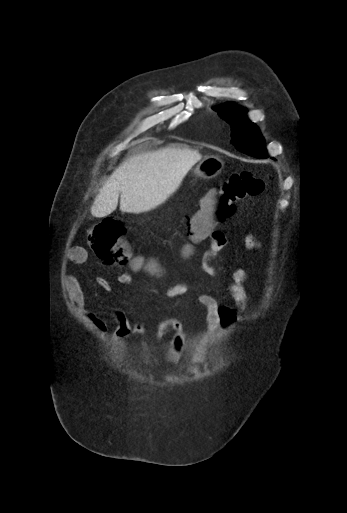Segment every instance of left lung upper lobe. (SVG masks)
I'll use <instances>...</instances> for the list:
<instances>
[{
	"mask_svg": "<svg viewBox=\"0 0 347 513\" xmlns=\"http://www.w3.org/2000/svg\"><path fill=\"white\" fill-rule=\"evenodd\" d=\"M232 127V143L236 148L255 157L265 156V143L258 128L245 116V110L238 107L223 106L215 109Z\"/></svg>",
	"mask_w": 347,
	"mask_h": 513,
	"instance_id": "obj_1",
	"label": "left lung upper lobe"
}]
</instances>
